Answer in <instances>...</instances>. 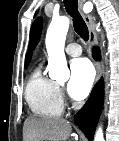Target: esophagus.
I'll return each instance as SVG.
<instances>
[{"instance_id":"34e87169","label":"esophagus","mask_w":119,"mask_h":141,"mask_svg":"<svg viewBox=\"0 0 119 141\" xmlns=\"http://www.w3.org/2000/svg\"><path fill=\"white\" fill-rule=\"evenodd\" d=\"M78 3H79V8L82 11L84 0H79ZM83 17H84V20H85V22L88 26V29H89V46L92 49L97 41L93 17L90 14H84ZM94 64H95L96 72H97L96 81H98L100 79L101 73H102L101 67L97 61H94Z\"/></svg>"}]
</instances>
